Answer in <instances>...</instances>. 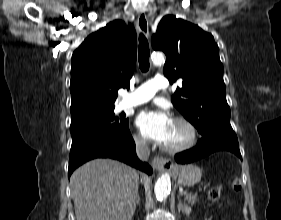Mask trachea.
Returning <instances> with one entry per match:
<instances>
[{
  "label": "trachea",
  "mask_w": 281,
  "mask_h": 220,
  "mask_svg": "<svg viewBox=\"0 0 281 220\" xmlns=\"http://www.w3.org/2000/svg\"><path fill=\"white\" fill-rule=\"evenodd\" d=\"M149 45L145 36L141 33L139 36L138 59L139 66L143 72L149 70Z\"/></svg>",
  "instance_id": "obj_1"
}]
</instances>
